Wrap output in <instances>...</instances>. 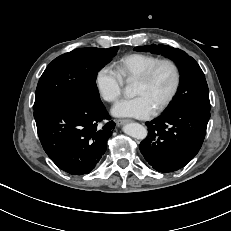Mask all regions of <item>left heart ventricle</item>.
<instances>
[{
    "label": "left heart ventricle",
    "mask_w": 231,
    "mask_h": 231,
    "mask_svg": "<svg viewBox=\"0 0 231 231\" xmlns=\"http://www.w3.org/2000/svg\"><path fill=\"white\" fill-rule=\"evenodd\" d=\"M174 83V73L169 65L161 66L151 81H136L134 95H144L155 109L167 97Z\"/></svg>",
    "instance_id": "left-heart-ventricle-1"
}]
</instances>
